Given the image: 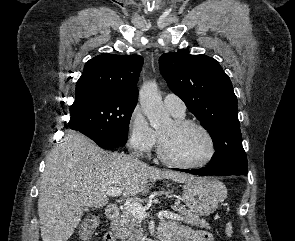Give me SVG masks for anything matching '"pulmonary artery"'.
<instances>
[{"label": "pulmonary artery", "mask_w": 295, "mask_h": 241, "mask_svg": "<svg viewBox=\"0 0 295 241\" xmlns=\"http://www.w3.org/2000/svg\"><path fill=\"white\" fill-rule=\"evenodd\" d=\"M164 106L172 114L176 116H184L186 111V106L183 100L175 94H167L164 97Z\"/></svg>", "instance_id": "e3ab8cb5"}]
</instances>
